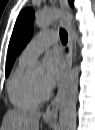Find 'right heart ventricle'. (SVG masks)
<instances>
[{
    "instance_id": "e07e8e85",
    "label": "right heart ventricle",
    "mask_w": 95,
    "mask_h": 130,
    "mask_svg": "<svg viewBox=\"0 0 95 130\" xmlns=\"http://www.w3.org/2000/svg\"><path fill=\"white\" fill-rule=\"evenodd\" d=\"M29 61L19 59L7 85V91L12 104L19 109L38 108L42 99L37 94L33 79L25 73Z\"/></svg>"
}]
</instances>
